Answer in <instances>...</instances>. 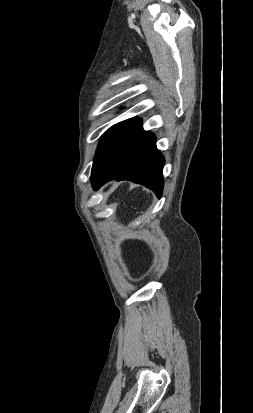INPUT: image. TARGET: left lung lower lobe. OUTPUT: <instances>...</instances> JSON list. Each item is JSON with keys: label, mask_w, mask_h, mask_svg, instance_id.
I'll list each match as a JSON object with an SVG mask.
<instances>
[{"label": "left lung lower lobe", "mask_w": 253, "mask_h": 413, "mask_svg": "<svg viewBox=\"0 0 253 413\" xmlns=\"http://www.w3.org/2000/svg\"><path fill=\"white\" fill-rule=\"evenodd\" d=\"M155 142V136L144 131L140 124L91 177L93 188L97 190L112 179L130 180L150 188L160 197L163 191L164 157Z\"/></svg>", "instance_id": "obj_1"}]
</instances>
